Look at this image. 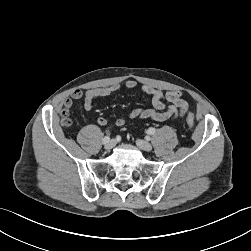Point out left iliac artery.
<instances>
[{
  "label": "left iliac artery",
  "mask_w": 251,
  "mask_h": 251,
  "mask_svg": "<svg viewBox=\"0 0 251 251\" xmlns=\"http://www.w3.org/2000/svg\"><path fill=\"white\" fill-rule=\"evenodd\" d=\"M155 128H153V127H150L148 130H147V134L148 135H153V134H155Z\"/></svg>",
  "instance_id": "1"
}]
</instances>
